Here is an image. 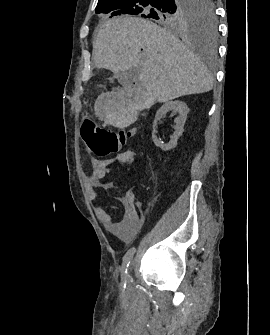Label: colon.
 <instances>
[{
    "label": "colon",
    "mask_w": 270,
    "mask_h": 335,
    "mask_svg": "<svg viewBox=\"0 0 270 335\" xmlns=\"http://www.w3.org/2000/svg\"><path fill=\"white\" fill-rule=\"evenodd\" d=\"M133 134L131 130L109 131L92 120H85L82 126V135L86 145L91 154L97 158H105L117 153Z\"/></svg>",
    "instance_id": "obj_1"
}]
</instances>
